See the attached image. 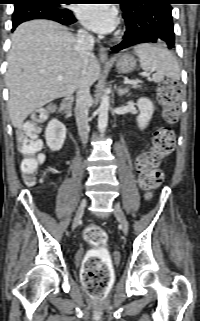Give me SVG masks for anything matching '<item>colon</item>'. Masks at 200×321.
I'll use <instances>...</instances> for the list:
<instances>
[{"instance_id":"1","label":"colon","mask_w":200,"mask_h":321,"mask_svg":"<svg viewBox=\"0 0 200 321\" xmlns=\"http://www.w3.org/2000/svg\"><path fill=\"white\" fill-rule=\"evenodd\" d=\"M180 84L175 80H164L157 89V99L162 107L163 116L168 124H175L179 118ZM46 119V111L38 110L25 121L17 132L18 150L22 155L21 170L24 180L31 185L39 169L43 155L42 142L38 137L39 125ZM175 146L174 131L170 126L161 127L153 137L150 149L136 161L139 183L147 196L158 188L163 180L159 169L163 158L170 155ZM85 241L93 247L86 256L82 267V282L86 290L96 299H102L110 282L109 259L105 252L108 235L97 225H89L84 230Z\"/></svg>"}]
</instances>
